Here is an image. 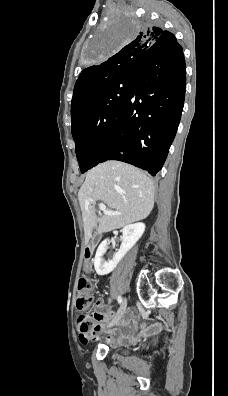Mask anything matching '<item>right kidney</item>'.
Masks as SVG:
<instances>
[{
  "label": "right kidney",
  "instance_id": "1",
  "mask_svg": "<svg viewBox=\"0 0 228 396\" xmlns=\"http://www.w3.org/2000/svg\"><path fill=\"white\" fill-rule=\"evenodd\" d=\"M145 231L144 223H135L125 226L122 230V243L119 251L113 256L112 260L105 261L103 256L107 250L108 239L99 245L94 258V268L98 275H107L112 272L117 264L122 260L126 253L136 244Z\"/></svg>",
  "mask_w": 228,
  "mask_h": 396
}]
</instances>
